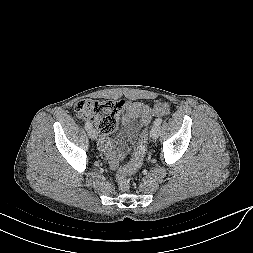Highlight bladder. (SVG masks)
I'll return each instance as SVG.
<instances>
[{
	"instance_id": "31cf9c89",
	"label": "bladder",
	"mask_w": 253,
	"mask_h": 253,
	"mask_svg": "<svg viewBox=\"0 0 253 253\" xmlns=\"http://www.w3.org/2000/svg\"><path fill=\"white\" fill-rule=\"evenodd\" d=\"M141 130V123L138 119L130 116H125L122 120L121 129L118 131V137L133 143L139 136Z\"/></svg>"
}]
</instances>
